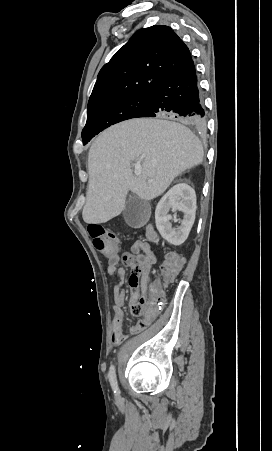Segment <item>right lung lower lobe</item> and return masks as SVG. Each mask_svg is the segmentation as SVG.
Here are the masks:
<instances>
[{"mask_svg":"<svg viewBox=\"0 0 272 451\" xmlns=\"http://www.w3.org/2000/svg\"><path fill=\"white\" fill-rule=\"evenodd\" d=\"M138 117L175 118L197 130L205 129L203 97L192 58L151 92Z\"/></svg>","mask_w":272,"mask_h":451,"instance_id":"obj_1","label":"right lung lower lobe"}]
</instances>
